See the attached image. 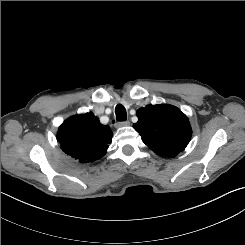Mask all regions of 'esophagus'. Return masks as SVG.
Listing matches in <instances>:
<instances>
[{"instance_id":"obj_1","label":"esophagus","mask_w":245,"mask_h":245,"mask_svg":"<svg viewBox=\"0 0 245 245\" xmlns=\"http://www.w3.org/2000/svg\"><path fill=\"white\" fill-rule=\"evenodd\" d=\"M129 123L130 122L128 120H126V121H120V122L116 123V126L117 127H123V126L129 125Z\"/></svg>"}]
</instances>
